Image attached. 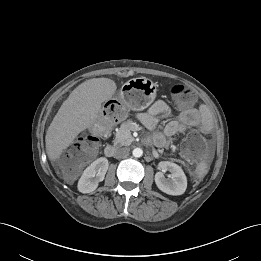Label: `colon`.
<instances>
[{
    "label": "colon",
    "instance_id": "obj_1",
    "mask_svg": "<svg viewBox=\"0 0 261 261\" xmlns=\"http://www.w3.org/2000/svg\"><path fill=\"white\" fill-rule=\"evenodd\" d=\"M172 95L180 106H189L194 102V94L184 85H174ZM107 115L112 119H122L123 113L120 108H106ZM108 125L103 124L96 131L83 137L77 144L59 159V167L67 177L75 176L82 165L91 159L97 150L100 138L107 132ZM184 151L190 157H197L200 154L202 144L198 137L191 138L184 144Z\"/></svg>",
    "mask_w": 261,
    "mask_h": 261
}]
</instances>
